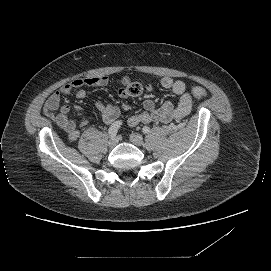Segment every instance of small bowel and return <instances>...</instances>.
<instances>
[{
  "mask_svg": "<svg viewBox=\"0 0 271 271\" xmlns=\"http://www.w3.org/2000/svg\"><path fill=\"white\" fill-rule=\"evenodd\" d=\"M108 77H90L84 79H74L53 92L45 102L44 113L52 119L66 133L70 141H75L80 136L83 127L88 123L89 118L86 113L76 107L79 115L85 117L80 122H76L70 118V107L67 104H61L63 95L75 94L76 98L84 99L87 92L84 87H103L108 84ZM122 87L119 89V94L122 97H128L127 87L131 83L129 78L122 79ZM160 85L167 90H170L176 96H179L178 104H173L169 101L164 102L159 107L151 99H145L143 102L144 111L139 114L132 115L128 119L129 126H137L139 124H147L151 122L169 123L171 121L179 122L184 119L192 110L193 98L189 91L186 90L184 82L173 80L170 77H163L160 80ZM97 110L100 112L103 121L107 124L114 122L120 114L119 108L113 104L98 102ZM57 112L55 115L54 113ZM116 122V121H115Z\"/></svg>",
  "mask_w": 271,
  "mask_h": 271,
  "instance_id": "c3829d8e",
  "label": "small bowel"
}]
</instances>
